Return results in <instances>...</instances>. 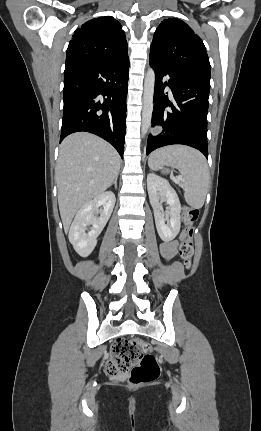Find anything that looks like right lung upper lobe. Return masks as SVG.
<instances>
[{"label":"right lung upper lobe","mask_w":261,"mask_h":431,"mask_svg":"<svg viewBox=\"0 0 261 431\" xmlns=\"http://www.w3.org/2000/svg\"><path fill=\"white\" fill-rule=\"evenodd\" d=\"M128 57L127 41L113 17L94 18L75 30L66 52L65 65L120 61Z\"/></svg>","instance_id":"1"}]
</instances>
